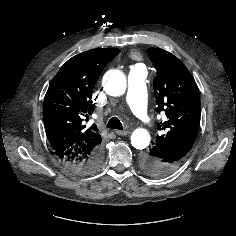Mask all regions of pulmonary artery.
<instances>
[{"instance_id": "1", "label": "pulmonary artery", "mask_w": 236, "mask_h": 236, "mask_svg": "<svg viewBox=\"0 0 236 236\" xmlns=\"http://www.w3.org/2000/svg\"><path fill=\"white\" fill-rule=\"evenodd\" d=\"M146 79L147 69L143 65L139 64L130 68L126 102L135 117L144 123H147L149 120L146 98Z\"/></svg>"}]
</instances>
